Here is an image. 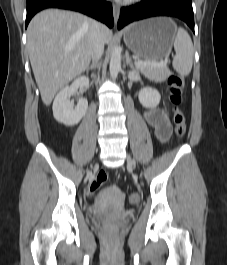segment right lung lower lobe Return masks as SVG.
I'll return each instance as SVG.
<instances>
[{
  "instance_id": "obj_1",
  "label": "right lung lower lobe",
  "mask_w": 227,
  "mask_h": 265,
  "mask_svg": "<svg viewBox=\"0 0 227 265\" xmlns=\"http://www.w3.org/2000/svg\"><path fill=\"white\" fill-rule=\"evenodd\" d=\"M46 8H62L79 11L108 25L114 24L112 5L103 0H27L26 27L31 18Z\"/></svg>"
}]
</instances>
